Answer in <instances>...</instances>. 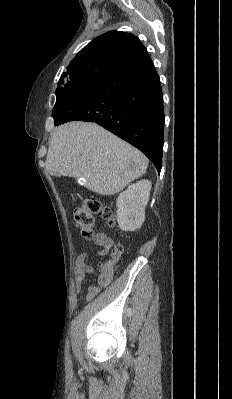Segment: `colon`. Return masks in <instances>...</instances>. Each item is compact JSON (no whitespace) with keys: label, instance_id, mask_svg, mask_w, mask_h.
Wrapping results in <instances>:
<instances>
[{"label":"colon","instance_id":"obj_1","mask_svg":"<svg viewBox=\"0 0 232 399\" xmlns=\"http://www.w3.org/2000/svg\"><path fill=\"white\" fill-rule=\"evenodd\" d=\"M96 214H93V213ZM98 214L100 217L105 218L111 215L110 211L103 209V202L97 199H89L87 203H84V211L79 209H74V228H79L81 224V236L83 239H90L92 232L95 231V226H93V219H98ZM113 225H117V211H112V217L108 218V227L112 228ZM112 260H108V265L105 267V273L100 271L96 272V283H92L93 294H98L101 290H107V285H113V261L114 269H119V260L117 255L120 257H125V251H121L120 244L112 245Z\"/></svg>","mask_w":232,"mask_h":399}]
</instances>
